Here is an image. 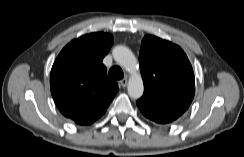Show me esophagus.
<instances>
[{"label": "esophagus", "instance_id": "34e87169", "mask_svg": "<svg viewBox=\"0 0 244 157\" xmlns=\"http://www.w3.org/2000/svg\"><path fill=\"white\" fill-rule=\"evenodd\" d=\"M119 83H120V85H121L122 87H126V86H127V83H128V80H127V78H124V79H122Z\"/></svg>", "mask_w": 244, "mask_h": 157}]
</instances>
